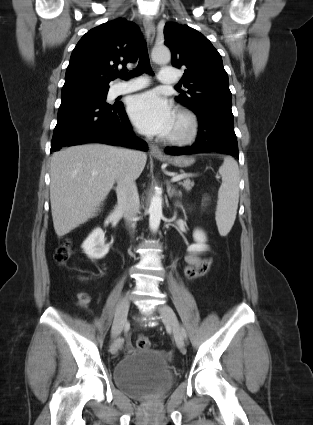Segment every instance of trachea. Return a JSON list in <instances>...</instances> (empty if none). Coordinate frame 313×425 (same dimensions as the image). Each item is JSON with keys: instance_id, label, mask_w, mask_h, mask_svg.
Instances as JSON below:
<instances>
[{"instance_id": "trachea-1", "label": "trachea", "mask_w": 313, "mask_h": 425, "mask_svg": "<svg viewBox=\"0 0 313 425\" xmlns=\"http://www.w3.org/2000/svg\"><path fill=\"white\" fill-rule=\"evenodd\" d=\"M144 72L151 75L153 74V71L150 67V60H149L148 51H147L145 42H143L140 49V59H139L138 66L134 70L130 71L129 73L119 74V77L121 79L127 80L131 77L141 75Z\"/></svg>"}]
</instances>
